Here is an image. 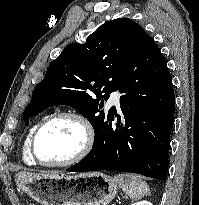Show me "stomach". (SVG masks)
I'll list each match as a JSON object with an SVG mask.
<instances>
[{"label": "stomach", "mask_w": 199, "mask_h": 205, "mask_svg": "<svg viewBox=\"0 0 199 205\" xmlns=\"http://www.w3.org/2000/svg\"><path fill=\"white\" fill-rule=\"evenodd\" d=\"M16 184L42 205H108L118 191L114 178L102 172L74 176L20 172L16 175Z\"/></svg>", "instance_id": "obj_1"}]
</instances>
